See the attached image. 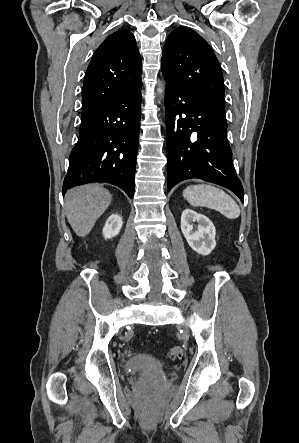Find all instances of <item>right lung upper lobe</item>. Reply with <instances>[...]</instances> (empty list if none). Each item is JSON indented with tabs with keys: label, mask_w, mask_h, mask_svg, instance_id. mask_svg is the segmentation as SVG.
Returning a JSON list of instances; mask_svg holds the SVG:
<instances>
[{
	"label": "right lung upper lobe",
	"mask_w": 299,
	"mask_h": 443,
	"mask_svg": "<svg viewBox=\"0 0 299 443\" xmlns=\"http://www.w3.org/2000/svg\"><path fill=\"white\" fill-rule=\"evenodd\" d=\"M142 63L134 35L119 30L97 48L83 84L82 116L141 83Z\"/></svg>",
	"instance_id": "right-lung-upper-lobe-1"
}]
</instances>
